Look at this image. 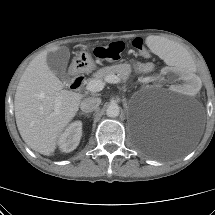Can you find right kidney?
I'll list each match as a JSON object with an SVG mask.
<instances>
[{"label": "right kidney", "mask_w": 215, "mask_h": 215, "mask_svg": "<svg viewBox=\"0 0 215 215\" xmlns=\"http://www.w3.org/2000/svg\"><path fill=\"white\" fill-rule=\"evenodd\" d=\"M82 136V122L71 123L59 136L58 145L62 152H71L78 146Z\"/></svg>", "instance_id": "1"}]
</instances>
